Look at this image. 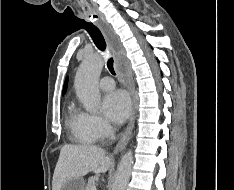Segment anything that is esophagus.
Instances as JSON below:
<instances>
[{"label":"esophagus","instance_id":"esophagus-1","mask_svg":"<svg viewBox=\"0 0 234 190\" xmlns=\"http://www.w3.org/2000/svg\"><path fill=\"white\" fill-rule=\"evenodd\" d=\"M98 23L108 41V44L110 46V49L113 55L115 57H118L121 54V50H122L120 42H119V38L117 37V35L115 34L111 26H109V24L103 18H100L98 20ZM127 86L131 95V99H132V112H131L129 123L114 149V154L119 153L122 149L125 148V146L127 145L131 137L132 130L134 128V123H135V117H136L135 85H134L132 75L130 73L127 74Z\"/></svg>","mask_w":234,"mask_h":190}]
</instances>
